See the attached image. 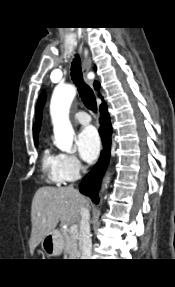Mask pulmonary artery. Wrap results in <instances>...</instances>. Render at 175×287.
<instances>
[{"label":"pulmonary artery","mask_w":175,"mask_h":287,"mask_svg":"<svg viewBox=\"0 0 175 287\" xmlns=\"http://www.w3.org/2000/svg\"><path fill=\"white\" fill-rule=\"evenodd\" d=\"M74 119L80 124H89L91 122V117L86 112H78L75 114Z\"/></svg>","instance_id":"pulmonary-artery-1"}]
</instances>
